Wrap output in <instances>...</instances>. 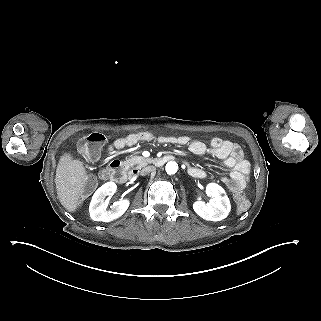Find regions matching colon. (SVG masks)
Masks as SVG:
<instances>
[{
  "label": "colon",
  "instance_id": "colon-1",
  "mask_svg": "<svg viewBox=\"0 0 321 321\" xmlns=\"http://www.w3.org/2000/svg\"><path fill=\"white\" fill-rule=\"evenodd\" d=\"M107 138V134L99 132L89 133L80 140L78 150L84 156L97 158ZM232 186L236 187V184L233 183ZM235 203L238 212H243L249 207V200L242 192H236Z\"/></svg>",
  "mask_w": 321,
  "mask_h": 321
}]
</instances>
